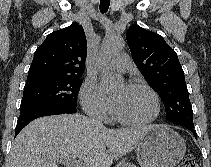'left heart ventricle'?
Here are the masks:
<instances>
[{
  "label": "left heart ventricle",
  "instance_id": "obj_1",
  "mask_svg": "<svg viewBox=\"0 0 211 167\" xmlns=\"http://www.w3.org/2000/svg\"><path fill=\"white\" fill-rule=\"evenodd\" d=\"M122 92V97L116 112L129 120L142 121L154 113V100L149 92L143 89L121 87L116 94Z\"/></svg>",
  "mask_w": 211,
  "mask_h": 167
}]
</instances>
